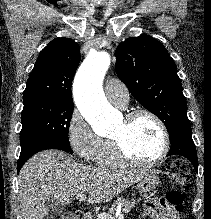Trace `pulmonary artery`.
<instances>
[{"instance_id": "e3ab8cb5", "label": "pulmonary artery", "mask_w": 211, "mask_h": 219, "mask_svg": "<svg viewBox=\"0 0 211 219\" xmlns=\"http://www.w3.org/2000/svg\"><path fill=\"white\" fill-rule=\"evenodd\" d=\"M104 91L107 99L119 108H125L129 103V91L118 79H109L105 82Z\"/></svg>"}]
</instances>
